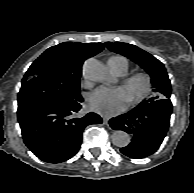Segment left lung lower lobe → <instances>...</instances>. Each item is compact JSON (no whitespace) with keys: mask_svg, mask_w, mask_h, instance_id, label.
Returning a JSON list of instances; mask_svg holds the SVG:
<instances>
[{"mask_svg":"<svg viewBox=\"0 0 194 193\" xmlns=\"http://www.w3.org/2000/svg\"><path fill=\"white\" fill-rule=\"evenodd\" d=\"M171 113L170 99H161L112 118L109 124L114 130H123L132 137L121 153L135 159L153 154L166 136Z\"/></svg>","mask_w":194,"mask_h":193,"instance_id":"left-lung-lower-lobe-1","label":"left lung lower lobe"}]
</instances>
